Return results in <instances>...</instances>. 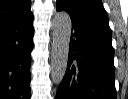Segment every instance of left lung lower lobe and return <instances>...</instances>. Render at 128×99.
Here are the masks:
<instances>
[{"label":"left lung lower lobe","mask_w":128,"mask_h":99,"mask_svg":"<svg viewBox=\"0 0 128 99\" xmlns=\"http://www.w3.org/2000/svg\"><path fill=\"white\" fill-rule=\"evenodd\" d=\"M57 10L72 18L68 65L56 99H117L108 18L79 11L63 0Z\"/></svg>","instance_id":"obj_1"}]
</instances>
